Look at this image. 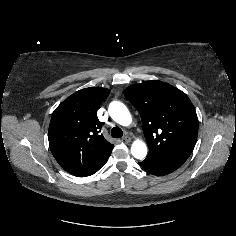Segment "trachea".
<instances>
[{"label":"trachea","instance_id":"1","mask_svg":"<svg viewBox=\"0 0 236 236\" xmlns=\"http://www.w3.org/2000/svg\"><path fill=\"white\" fill-rule=\"evenodd\" d=\"M111 136L113 138H121L123 136V131L119 127H113L111 129Z\"/></svg>","mask_w":236,"mask_h":236}]
</instances>
